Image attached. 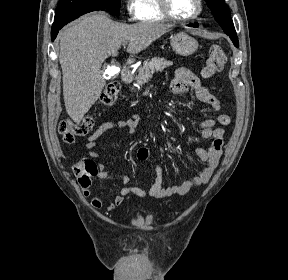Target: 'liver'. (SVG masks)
<instances>
[{"mask_svg":"<svg viewBox=\"0 0 288 280\" xmlns=\"http://www.w3.org/2000/svg\"><path fill=\"white\" fill-rule=\"evenodd\" d=\"M171 25L151 22L124 24L103 11L89 13L59 34V62L63 74V96L68 115L79 123L99 98L105 79L101 66L118 55L124 42L127 52L137 54L169 31Z\"/></svg>","mask_w":288,"mask_h":280,"instance_id":"liver-1","label":"liver"}]
</instances>
